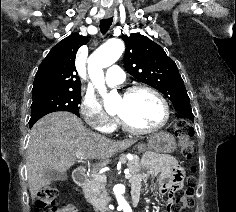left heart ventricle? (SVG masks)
<instances>
[{
	"label": "left heart ventricle",
	"instance_id": "obj_1",
	"mask_svg": "<svg viewBox=\"0 0 236 212\" xmlns=\"http://www.w3.org/2000/svg\"><path fill=\"white\" fill-rule=\"evenodd\" d=\"M116 113L137 128L154 127L164 117L161 102L147 91H138L131 96L120 97L116 103Z\"/></svg>",
	"mask_w": 236,
	"mask_h": 212
}]
</instances>
